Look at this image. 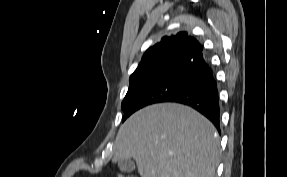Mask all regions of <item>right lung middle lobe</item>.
<instances>
[{
    "label": "right lung middle lobe",
    "instance_id": "1",
    "mask_svg": "<svg viewBox=\"0 0 287 177\" xmlns=\"http://www.w3.org/2000/svg\"><path fill=\"white\" fill-rule=\"evenodd\" d=\"M181 62L177 58H167L162 61L156 62L148 67L136 70L130 76V85L128 92L122 102V110L124 113L130 105L148 88L161 75L176 67ZM128 117L124 114L123 121Z\"/></svg>",
    "mask_w": 287,
    "mask_h": 177
}]
</instances>
